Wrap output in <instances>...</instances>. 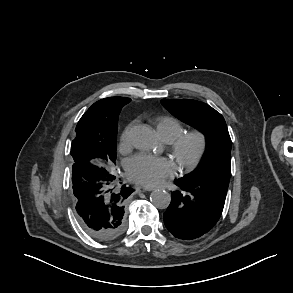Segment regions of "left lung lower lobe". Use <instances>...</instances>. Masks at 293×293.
I'll list each match as a JSON object with an SVG mask.
<instances>
[{
    "label": "left lung lower lobe",
    "mask_w": 293,
    "mask_h": 293,
    "mask_svg": "<svg viewBox=\"0 0 293 293\" xmlns=\"http://www.w3.org/2000/svg\"><path fill=\"white\" fill-rule=\"evenodd\" d=\"M178 189L164 213L166 228L177 238L196 239L208 232L219 220L228 186L205 184L185 178L175 180Z\"/></svg>",
    "instance_id": "1"
}]
</instances>
